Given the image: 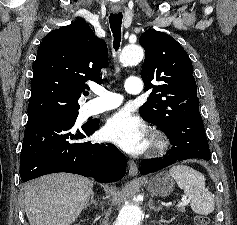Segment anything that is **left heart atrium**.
<instances>
[{"label":"left heart atrium","instance_id":"left-heart-atrium-1","mask_svg":"<svg viewBox=\"0 0 237 225\" xmlns=\"http://www.w3.org/2000/svg\"><path fill=\"white\" fill-rule=\"evenodd\" d=\"M104 136L132 154L142 152L148 142L143 122L126 110H121L108 119L104 127Z\"/></svg>","mask_w":237,"mask_h":225}]
</instances>
